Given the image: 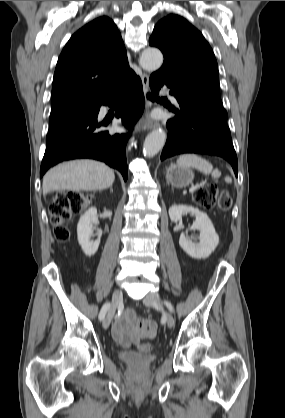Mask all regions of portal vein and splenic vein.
I'll return each instance as SVG.
<instances>
[{
    "label": "portal vein and splenic vein",
    "mask_w": 285,
    "mask_h": 418,
    "mask_svg": "<svg viewBox=\"0 0 285 418\" xmlns=\"http://www.w3.org/2000/svg\"><path fill=\"white\" fill-rule=\"evenodd\" d=\"M199 187V184L193 185L190 189L189 192L193 193L197 188Z\"/></svg>",
    "instance_id": "1"
}]
</instances>
